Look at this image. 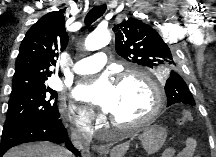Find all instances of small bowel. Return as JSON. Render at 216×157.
I'll return each mask as SVG.
<instances>
[{
    "label": "small bowel",
    "instance_id": "obj_1",
    "mask_svg": "<svg viewBox=\"0 0 216 157\" xmlns=\"http://www.w3.org/2000/svg\"><path fill=\"white\" fill-rule=\"evenodd\" d=\"M197 143L194 138H188L182 150L177 154V157H192L196 151ZM175 155L174 149H167L164 153V157H172Z\"/></svg>",
    "mask_w": 216,
    "mask_h": 157
}]
</instances>
